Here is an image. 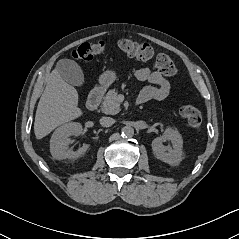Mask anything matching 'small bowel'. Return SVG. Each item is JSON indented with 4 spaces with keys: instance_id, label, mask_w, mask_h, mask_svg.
Returning a JSON list of instances; mask_svg holds the SVG:
<instances>
[{
    "instance_id": "c3829d8e",
    "label": "small bowel",
    "mask_w": 239,
    "mask_h": 239,
    "mask_svg": "<svg viewBox=\"0 0 239 239\" xmlns=\"http://www.w3.org/2000/svg\"><path fill=\"white\" fill-rule=\"evenodd\" d=\"M134 76L139 81H148L138 96V103L142 104L151 99L163 100L171 90L169 81L157 70L148 67L136 69Z\"/></svg>"
}]
</instances>
